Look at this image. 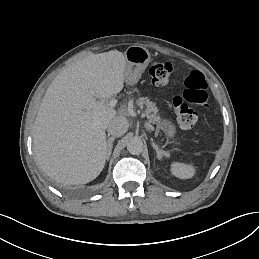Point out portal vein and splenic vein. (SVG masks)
I'll use <instances>...</instances> for the list:
<instances>
[{"mask_svg":"<svg viewBox=\"0 0 259 259\" xmlns=\"http://www.w3.org/2000/svg\"><path fill=\"white\" fill-rule=\"evenodd\" d=\"M91 94L95 95V92L93 90H91ZM108 105H109V107H114L115 106V101H110ZM74 113L78 114V113H80V111L76 110V111H74Z\"/></svg>","mask_w":259,"mask_h":259,"instance_id":"1","label":"portal vein and splenic vein"}]
</instances>
